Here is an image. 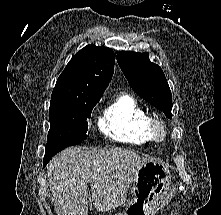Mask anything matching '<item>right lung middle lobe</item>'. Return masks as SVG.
I'll return each mask as SVG.
<instances>
[{"label": "right lung middle lobe", "mask_w": 221, "mask_h": 215, "mask_svg": "<svg viewBox=\"0 0 221 215\" xmlns=\"http://www.w3.org/2000/svg\"><path fill=\"white\" fill-rule=\"evenodd\" d=\"M98 102L99 100L50 105V130L44 159H51L59 151L80 144L87 138V119L91 117L92 109Z\"/></svg>", "instance_id": "dd1d6c3e"}]
</instances>
